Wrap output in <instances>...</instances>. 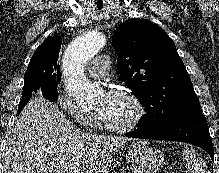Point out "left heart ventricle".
Listing matches in <instances>:
<instances>
[{
	"label": "left heart ventricle",
	"mask_w": 219,
	"mask_h": 173,
	"mask_svg": "<svg viewBox=\"0 0 219 173\" xmlns=\"http://www.w3.org/2000/svg\"><path fill=\"white\" fill-rule=\"evenodd\" d=\"M102 100L103 97L101 96L99 98V106ZM134 112V106L125 96L114 93L101 117L107 123L113 125H123L132 119Z\"/></svg>",
	"instance_id": "1"
}]
</instances>
